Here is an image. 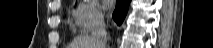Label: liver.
<instances>
[{"label": "liver", "mask_w": 213, "mask_h": 48, "mask_svg": "<svg viewBox=\"0 0 213 48\" xmlns=\"http://www.w3.org/2000/svg\"><path fill=\"white\" fill-rule=\"evenodd\" d=\"M69 48H96L94 41L91 39V36L82 35L78 36L72 43L69 45Z\"/></svg>", "instance_id": "liver-1"}]
</instances>
